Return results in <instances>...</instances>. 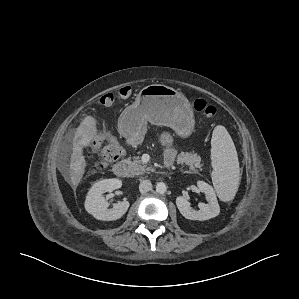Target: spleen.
I'll return each mask as SVG.
<instances>
[{
	"label": "spleen",
	"mask_w": 299,
	"mask_h": 299,
	"mask_svg": "<svg viewBox=\"0 0 299 299\" xmlns=\"http://www.w3.org/2000/svg\"><path fill=\"white\" fill-rule=\"evenodd\" d=\"M212 182L222 201L235 197L239 184V161L233 140L224 126L214 128L211 139Z\"/></svg>",
	"instance_id": "spleen-1"
}]
</instances>
